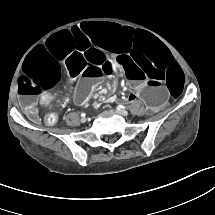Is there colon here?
Masks as SVG:
<instances>
[{"label":"colon","mask_w":215,"mask_h":215,"mask_svg":"<svg viewBox=\"0 0 215 215\" xmlns=\"http://www.w3.org/2000/svg\"><path fill=\"white\" fill-rule=\"evenodd\" d=\"M57 120V114L55 112H50L47 116H46V123L48 125H53L55 124Z\"/></svg>","instance_id":"5ec220e1"}]
</instances>
